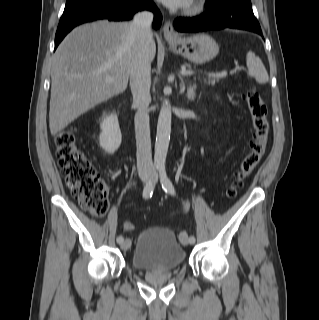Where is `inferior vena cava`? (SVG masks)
I'll return each instance as SVG.
<instances>
[{"mask_svg": "<svg viewBox=\"0 0 319 320\" xmlns=\"http://www.w3.org/2000/svg\"><path fill=\"white\" fill-rule=\"evenodd\" d=\"M153 14L149 11L137 13L130 22L129 36L134 42V55L130 70V87L135 114V134L137 146V169L140 176L153 172L148 106L151 101V60L149 45L153 40L151 23Z\"/></svg>", "mask_w": 319, "mask_h": 320, "instance_id": "inferior-vena-cava-1", "label": "inferior vena cava"}]
</instances>
